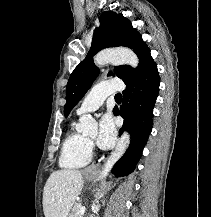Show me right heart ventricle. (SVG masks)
Returning a JSON list of instances; mask_svg holds the SVG:
<instances>
[{
    "label": "right heart ventricle",
    "mask_w": 211,
    "mask_h": 217,
    "mask_svg": "<svg viewBox=\"0 0 211 217\" xmlns=\"http://www.w3.org/2000/svg\"><path fill=\"white\" fill-rule=\"evenodd\" d=\"M91 160L87 138L74 127L67 132L61 147L59 164L63 168L76 169L86 166Z\"/></svg>",
    "instance_id": "obj_1"
}]
</instances>
